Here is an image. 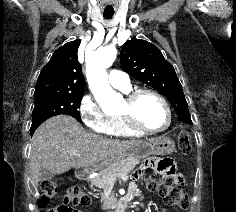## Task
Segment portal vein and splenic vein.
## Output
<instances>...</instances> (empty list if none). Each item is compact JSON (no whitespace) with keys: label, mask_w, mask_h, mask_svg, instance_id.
I'll list each match as a JSON object with an SVG mask.
<instances>
[{"label":"portal vein and splenic vein","mask_w":236,"mask_h":212,"mask_svg":"<svg viewBox=\"0 0 236 212\" xmlns=\"http://www.w3.org/2000/svg\"><path fill=\"white\" fill-rule=\"evenodd\" d=\"M69 154L70 155H79L78 151H76V150L69 151ZM124 178H125V176H121V179H124ZM115 179L116 178H108V182L112 183Z\"/></svg>","instance_id":"18ae733b"}]
</instances>
